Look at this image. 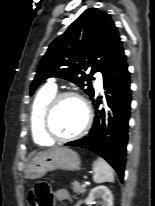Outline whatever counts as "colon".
<instances>
[{"label": "colon", "mask_w": 155, "mask_h": 206, "mask_svg": "<svg viewBox=\"0 0 155 206\" xmlns=\"http://www.w3.org/2000/svg\"><path fill=\"white\" fill-rule=\"evenodd\" d=\"M28 200L31 204L38 206H51V192L50 187L47 183H38L28 193Z\"/></svg>", "instance_id": "5ec220e1"}]
</instances>
